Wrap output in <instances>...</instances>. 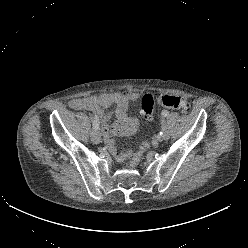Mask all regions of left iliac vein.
I'll use <instances>...</instances> for the list:
<instances>
[{"label":"left iliac vein","mask_w":248,"mask_h":248,"mask_svg":"<svg viewBox=\"0 0 248 248\" xmlns=\"http://www.w3.org/2000/svg\"><path fill=\"white\" fill-rule=\"evenodd\" d=\"M162 132H163V134L161 135V138L163 140H168L169 139V132H168L165 125L162 126Z\"/></svg>","instance_id":"left-iliac-vein-1"}]
</instances>
